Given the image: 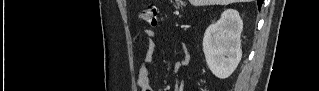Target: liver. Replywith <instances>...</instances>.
Returning <instances> with one entry per match:
<instances>
[{
	"instance_id": "liver-1",
	"label": "liver",
	"mask_w": 319,
	"mask_h": 91,
	"mask_svg": "<svg viewBox=\"0 0 319 91\" xmlns=\"http://www.w3.org/2000/svg\"><path fill=\"white\" fill-rule=\"evenodd\" d=\"M194 6L228 5L234 2H250L251 0H189Z\"/></svg>"
}]
</instances>
